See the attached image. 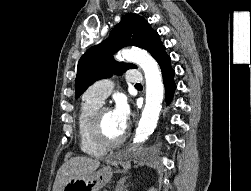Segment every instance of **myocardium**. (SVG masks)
I'll return each mask as SVG.
<instances>
[{"instance_id": "f54148a6", "label": "myocardium", "mask_w": 251, "mask_h": 191, "mask_svg": "<svg viewBox=\"0 0 251 191\" xmlns=\"http://www.w3.org/2000/svg\"><path fill=\"white\" fill-rule=\"evenodd\" d=\"M105 111H109V108L107 106L100 105L94 112L91 120V133L95 141L102 147L106 149H111L118 147L121 145L125 138L126 134L125 132H122V134L115 138L111 139L106 136L104 130H103V124H102V114Z\"/></svg>"}]
</instances>
